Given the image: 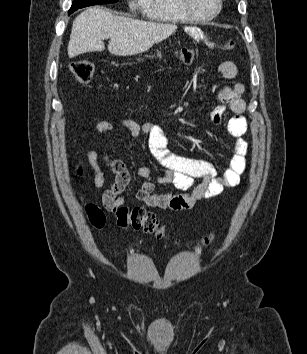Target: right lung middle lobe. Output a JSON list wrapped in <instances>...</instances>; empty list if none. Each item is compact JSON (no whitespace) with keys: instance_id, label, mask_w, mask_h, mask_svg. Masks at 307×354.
Returning a JSON list of instances; mask_svg holds the SVG:
<instances>
[{"instance_id":"dd1d6c3e","label":"right lung middle lobe","mask_w":307,"mask_h":354,"mask_svg":"<svg viewBox=\"0 0 307 354\" xmlns=\"http://www.w3.org/2000/svg\"><path fill=\"white\" fill-rule=\"evenodd\" d=\"M118 0H74L72 6L69 10V14L78 8H83L86 6L96 5V4H106V3H115Z\"/></svg>"}]
</instances>
